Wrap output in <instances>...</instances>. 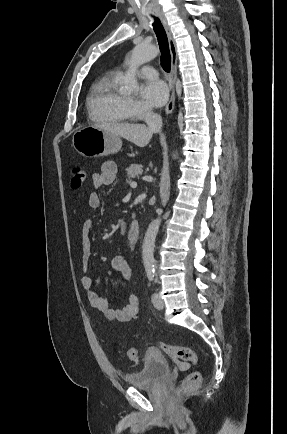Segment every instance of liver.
Returning <instances> with one entry per match:
<instances>
[{"label": "liver", "instance_id": "obj_1", "mask_svg": "<svg viewBox=\"0 0 287 434\" xmlns=\"http://www.w3.org/2000/svg\"><path fill=\"white\" fill-rule=\"evenodd\" d=\"M95 127L105 129L119 137L134 143L138 147H145L151 140L153 133L156 130L146 126L145 124H130V123H102L96 124Z\"/></svg>", "mask_w": 287, "mask_h": 434}]
</instances>
